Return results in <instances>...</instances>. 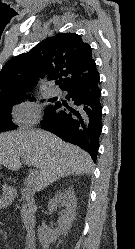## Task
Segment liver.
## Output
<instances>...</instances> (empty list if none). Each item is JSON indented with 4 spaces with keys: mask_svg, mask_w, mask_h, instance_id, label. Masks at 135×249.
Returning <instances> with one entry per match:
<instances>
[{
    "mask_svg": "<svg viewBox=\"0 0 135 249\" xmlns=\"http://www.w3.org/2000/svg\"><path fill=\"white\" fill-rule=\"evenodd\" d=\"M23 157L36 168L34 184L38 191L69 175H90L94 169L87 152L49 132L31 130L0 134V164L17 171Z\"/></svg>",
    "mask_w": 135,
    "mask_h": 249,
    "instance_id": "obj_1",
    "label": "liver"
}]
</instances>
